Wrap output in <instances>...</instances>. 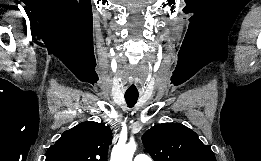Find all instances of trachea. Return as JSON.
<instances>
[{"label": "trachea", "mask_w": 261, "mask_h": 161, "mask_svg": "<svg viewBox=\"0 0 261 161\" xmlns=\"http://www.w3.org/2000/svg\"><path fill=\"white\" fill-rule=\"evenodd\" d=\"M125 100H126V103L129 107H133L138 100V96H136V95H125Z\"/></svg>", "instance_id": "3493384b"}]
</instances>
